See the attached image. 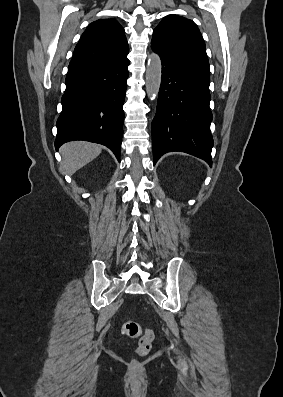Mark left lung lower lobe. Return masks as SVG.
<instances>
[{
  "label": "left lung lower lobe",
  "instance_id": "left-lung-lower-lobe-1",
  "mask_svg": "<svg viewBox=\"0 0 283 397\" xmlns=\"http://www.w3.org/2000/svg\"><path fill=\"white\" fill-rule=\"evenodd\" d=\"M152 49L162 61V81L152 122L153 164L167 152L181 151L212 166L210 81Z\"/></svg>",
  "mask_w": 283,
  "mask_h": 397
}]
</instances>
